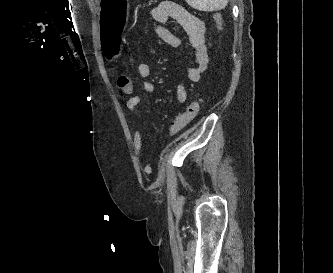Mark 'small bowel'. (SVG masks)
<instances>
[{"mask_svg":"<svg viewBox=\"0 0 333 273\" xmlns=\"http://www.w3.org/2000/svg\"><path fill=\"white\" fill-rule=\"evenodd\" d=\"M148 15L153 20L152 31L163 42L172 47H180L184 43V39L170 32L165 25L173 20L184 28L187 42L193 51V57L195 60L194 65L186 66V75L191 82H199L201 75L206 70L209 62L207 48L205 45L206 26L202 19L185 9L183 6L172 1L162 2L152 8L148 12ZM137 74L140 78V89L145 93L153 92L155 88L149 79L151 76V67L147 63H140L137 66ZM175 96L180 104L186 103L187 91L183 84L177 85L175 89ZM140 102L141 99L139 96H131L126 102L128 111L137 120L139 118L137 107ZM133 144L136 155L141 156L143 154V144L141 132L138 126H136L134 130ZM143 170L144 172L149 173L151 171V167L146 165Z\"/></svg>","mask_w":333,"mask_h":273,"instance_id":"obj_1","label":"small bowel"}]
</instances>
